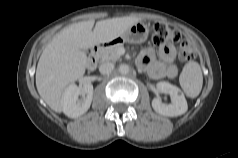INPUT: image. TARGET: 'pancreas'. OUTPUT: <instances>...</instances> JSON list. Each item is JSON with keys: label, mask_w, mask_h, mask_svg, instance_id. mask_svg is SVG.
Masks as SVG:
<instances>
[{"label": "pancreas", "mask_w": 238, "mask_h": 158, "mask_svg": "<svg viewBox=\"0 0 238 158\" xmlns=\"http://www.w3.org/2000/svg\"><path fill=\"white\" fill-rule=\"evenodd\" d=\"M122 46L123 44H116L113 46L103 48L98 52V57L101 59V61L115 62L120 59V55L118 54V49Z\"/></svg>", "instance_id": "obj_1"}]
</instances>
